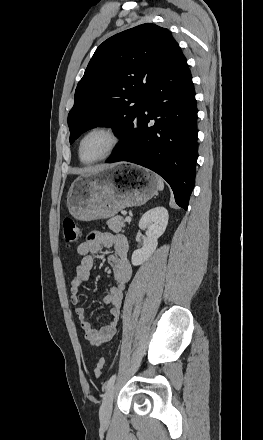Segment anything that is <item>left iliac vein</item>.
I'll use <instances>...</instances> for the list:
<instances>
[{"instance_id":"4c4485c4","label":"left iliac vein","mask_w":263,"mask_h":440,"mask_svg":"<svg viewBox=\"0 0 263 440\" xmlns=\"http://www.w3.org/2000/svg\"><path fill=\"white\" fill-rule=\"evenodd\" d=\"M116 385H112L108 390L107 394L104 396L102 405L100 407V420L106 423L110 420L112 414V403L115 396Z\"/></svg>"}]
</instances>
